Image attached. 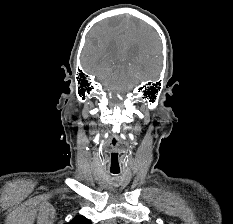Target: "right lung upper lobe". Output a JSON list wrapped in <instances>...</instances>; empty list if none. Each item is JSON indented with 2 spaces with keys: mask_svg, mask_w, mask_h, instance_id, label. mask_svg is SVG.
Returning a JSON list of instances; mask_svg holds the SVG:
<instances>
[{
  "mask_svg": "<svg viewBox=\"0 0 233 224\" xmlns=\"http://www.w3.org/2000/svg\"><path fill=\"white\" fill-rule=\"evenodd\" d=\"M65 224H92L91 221L83 216H76L69 223Z\"/></svg>",
  "mask_w": 233,
  "mask_h": 224,
  "instance_id": "right-lung-upper-lobe-1",
  "label": "right lung upper lobe"
}]
</instances>
